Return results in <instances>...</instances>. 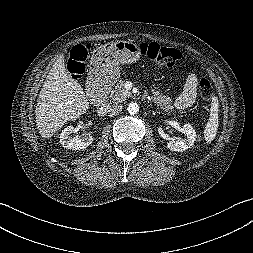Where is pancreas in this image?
I'll use <instances>...</instances> for the list:
<instances>
[{
    "label": "pancreas",
    "mask_w": 253,
    "mask_h": 253,
    "mask_svg": "<svg viewBox=\"0 0 253 253\" xmlns=\"http://www.w3.org/2000/svg\"><path fill=\"white\" fill-rule=\"evenodd\" d=\"M125 82L119 81L115 86V90L110 95V98L115 103L123 102L127 98L131 97V92L125 89ZM151 100L165 112L174 111V106L172 105V100L169 96L164 95L155 85H153Z\"/></svg>",
    "instance_id": "cf45deb5"
}]
</instances>
